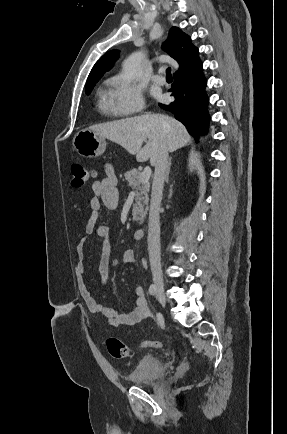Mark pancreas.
Instances as JSON below:
<instances>
[{
  "label": "pancreas",
  "instance_id": "pancreas-1",
  "mask_svg": "<svg viewBox=\"0 0 287 434\" xmlns=\"http://www.w3.org/2000/svg\"><path fill=\"white\" fill-rule=\"evenodd\" d=\"M141 173L133 169L125 173L129 186L135 190V204L133 205V220L142 221L147 214L149 202V183L140 182Z\"/></svg>",
  "mask_w": 287,
  "mask_h": 434
}]
</instances>
